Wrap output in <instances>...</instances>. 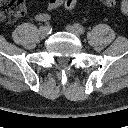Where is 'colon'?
Masks as SVG:
<instances>
[{
  "label": "colon",
  "mask_w": 128,
  "mask_h": 128,
  "mask_svg": "<svg viewBox=\"0 0 128 128\" xmlns=\"http://www.w3.org/2000/svg\"><path fill=\"white\" fill-rule=\"evenodd\" d=\"M106 7H113L116 0H99ZM77 0H65L64 7L66 10L71 11L75 8ZM121 10L124 14L128 15V0H122ZM25 11L24 0H0V19L12 23L21 17Z\"/></svg>",
  "instance_id": "1"
}]
</instances>
